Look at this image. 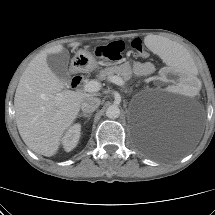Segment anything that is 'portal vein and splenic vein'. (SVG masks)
<instances>
[{
	"instance_id": "1",
	"label": "portal vein and splenic vein",
	"mask_w": 215,
	"mask_h": 215,
	"mask_svg": "<svg viewBox=\"0 0 215 215\" xmlns=\"http://www.w3.org/2000/svg\"><path fill=\"white\" fill-rule=\"evenodd\" d=\"M110 80H111V82L115 83L116 85H119V86L125 85V81L119 76H112L110 78ZM100 88H101V84L95 80H91V81L85 83V85H84V90L86 92H97L100 90Z\"/></svg>"
}]
</instances>
